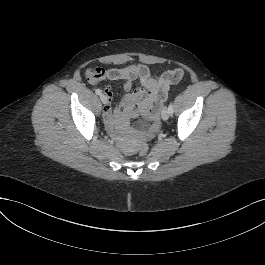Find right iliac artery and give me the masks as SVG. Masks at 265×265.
<instances>
[{
    "instance_id": "1",
    "label": "right iliac artery",
    "mask_w": 265,
    "mask_h": 265,
    "mask_svg": "<svg viewBox=\"0 0 265 265\" xmlns=\"http://www.w3.org/2000/svg\"><path fill=\"white\" fill-rule=\"evenodd\" d=\"M95 93H96L97 95H101V94H102V91H101L100 89H96Z\"/></svg>"
}]
</instances>
